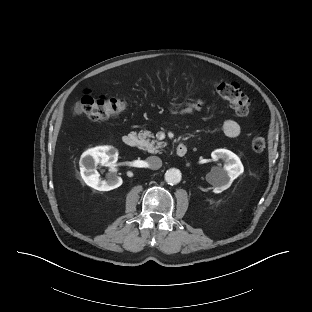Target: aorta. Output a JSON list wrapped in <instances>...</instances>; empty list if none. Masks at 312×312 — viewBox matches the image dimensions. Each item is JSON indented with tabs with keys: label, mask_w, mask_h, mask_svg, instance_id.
Instances as JSON below:
<instances>
[{
	"label": "aorta",
	"mask_w": 312,
	"mask_h": 312,
	"mask_svg": "<svg viewBox=\"0 0 312 312\" xmlns=\"http://www.w3.org/2000/svg\"><path fill=\"white\" fill-rule=\"evenodd\" d=\"M182 175L179 169L171 168L165 173V181L170 185H176L181 181Z\"/></svg>",
	"instance_id": "1"
}]
</instances>
